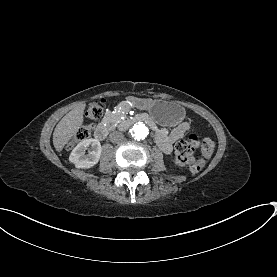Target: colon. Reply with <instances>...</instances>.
Returning <instances> with one entry per match:
<instances>
[{
	"label": "colon",
	"mask_w": 277,
	"mask_h": 277,
	"mask_svg": "<svg viewBox=\"0 0 277 277\" xmlns=\"http://www.w3.org/2000/svg\"><path fill=\"white\" fill-rule=\"evenodd\" d=\"M105 99L89 103L86 114L90 118H99L105 107ZM91 128L82 127L76 136L77 140H85L90 137ZM215 145L210 140H200L197 136H192L186 140H181L176 144L175 155L178 164L183 168H188L192 172H199L204 167L205 162L214 152ZM200 150L202 157L196 158L194 153Z\"/></svg>",
	"instance_id": "colon-1"
}]
</instances>
